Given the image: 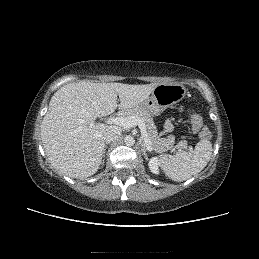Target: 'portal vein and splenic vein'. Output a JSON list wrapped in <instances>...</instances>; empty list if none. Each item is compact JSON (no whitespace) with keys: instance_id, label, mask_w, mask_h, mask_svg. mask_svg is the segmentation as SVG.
Segmentation results:
<instances>
[{"instance_id":"portal-vein-and-splenic-vein-1","label":"portal vein and splenic vein","mask_w":259,"mask_h":259,"mask_svg":"<svg viewBox=\"0 0 259 259\" xmlns=\"http://www.w3.org/2000/svg\"><path fill=\"white\" fill-rule=\"evenodd\" d=\"M106 122L108 124H115V125H119L124 128H132V127L138 126L140 128L141 135L144 139L145 145L148 147V149H151V142H150V139L147 134L145 123L139 117H137V116L113 117V118H109Z\"/></svg>"}]
</instances>
